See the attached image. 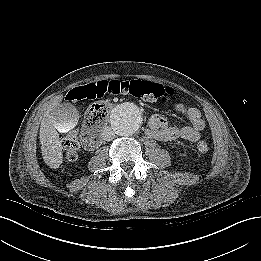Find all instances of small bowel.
Here are the masks:
<instances>
[{"mask_svg":"<svg viewBox=\"0 0 261 261\" xmlns=\"http://www.w3.org/2000/svg\"><path fill=\"white\" fill-rule=\"evenodd\" d=\"M174 109L188 119L189 125L170 126L163 116L156 114L149 119L147 136L160 141L176 139L198 141L201 131L205 128V120L200 110L195 107H186L181 103H175Z\"/></svg>","mask_w":261,"mask_h":261,"instance_id":"obj_1","label":"small bowel"}]
</instances>
